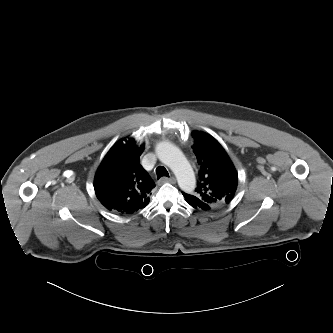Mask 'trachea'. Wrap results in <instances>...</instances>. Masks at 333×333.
Segmentation results:
<instances>
[{"label":"trachea","mask_w":333,"mask_h":333,"mask_svg":"<svg viewBox=\"0 0 333 333\" xmlns=\"http://www.w3.org/2000/svg\"><path fill=\"white\" fill-rule=\"evenodd\" d=\"M156 174H157V178H158V179L161 178V177H163V176H165V177H169V173H168V171H167L166 168L163 167V166H158V167L156 168Z\"/></svg>","instance_id":"obj_1"}]
</instances>
